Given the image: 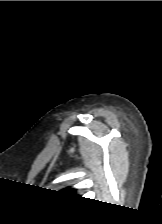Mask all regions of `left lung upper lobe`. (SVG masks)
<instances>
[{"label": "left lung upper lobe", "instance_id": "left-lung-upper-lobe-1", "mask_svg": "<svg viewBox=\"0 0 162 224\" xmlns=\"http://www.w3.org/2000/svg\"><path fill=\"white\" fill-rule=\"evenodd\" d=\"M74 191H75L74 189L67 188V189L62 190L61 192L66 193V194H68V195H74V196H77V195L74 193Z\"/></svg>", "mask_w": 162, "mask_h": 224}]
</instances>
